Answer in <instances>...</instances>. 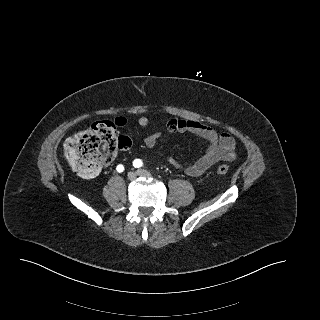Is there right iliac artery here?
<instances>
[{
  "mask_svg": "<svg viewBox=\"0 0 320 320\" xmlns=\"http://www.w3.org/2000/svg\"><path fill=\"white\" fill-rule=\"evenodd\" d=\"M116 170L121 173V172L124 171V166L121 165V164H119V165L116 167Z\"/></svg>",
  "mask_w": 320,
  "mask_h": 320,
  "instance_id": "right-iliac-artery-1",
  "label": "right iliac artery"
}]
</instances>
